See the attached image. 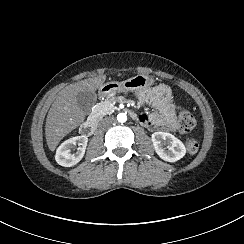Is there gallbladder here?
<instances>
[{
	"mask_svg": "<svg viewBox=\"0 0 244 244\" xmlns=\"http://www.w3.org/2000/svg\"><path fill=\"white\" fill-rule=\"evenodd\" d=\"M77 104L82 112L87 115L91 112L92 107L95 105L97 95L91 91H81L76 95Z\"/></svg>",
	"mask_w": 244,
	"mask_h": 244,
	"instance_id": "obj_1",
	"label": "gallbladder"
}]
</instances>
